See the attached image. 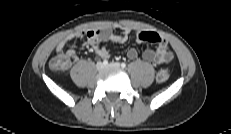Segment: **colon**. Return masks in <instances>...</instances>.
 Segmentation results:
<instances>
[{"label": "colon", "instance_id": "obj_1", "mask_svg": "<svg viewBox=\"0 0 231 134\" xmlns=\"http://www.w3.org/2000/svg\"><path fill=\"white\" fill-rule=\"evenodd\" d=\"M70 59L64 54H57L50 60V67L54 70L62 71L66 70L70 66ZM170 72L167 69H161L157 75L156 79L159 82H165L169 79Z\"/></svg>", "mask_w": 231, "mask_h": 134}]
</instances>
